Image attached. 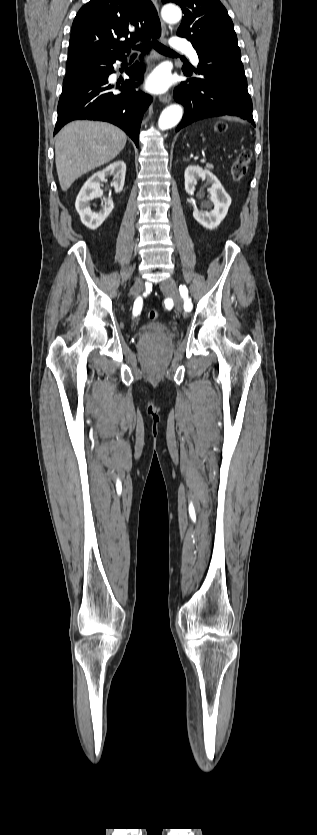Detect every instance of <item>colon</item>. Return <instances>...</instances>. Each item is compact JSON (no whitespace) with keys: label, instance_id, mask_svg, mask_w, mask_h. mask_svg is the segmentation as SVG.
Returning a JSON list of instances; mask_svg holds the SVG:
<instances>
[{"label":"colon","instance_id":"1","mask_svg":"<svg viewBox=\"0 0 317 835\" xmlns=\"http://www.w3.org/2000/svg\"><path fill=\"white\" fill-rule=\"evenodd\" d=\"M217 129L221 131V130L225 129V125L220 124ZM251 157H252L251 151L248 150V149H245L238 155L236 160L232 163V165H231V175H232L234 180L239 181L246 175V173L248 171V168L250 166ZM148 317H149L150 320L155 321V320H158L160 318V314L157 310L152 309L148 312Z\"/></svg>","mask_w":317,"mask_h":835}]
</instances>
